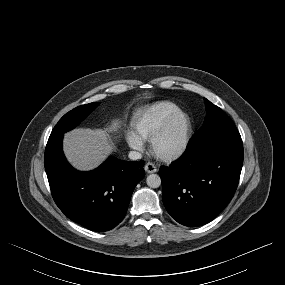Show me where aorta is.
I'll return each instance as SVG.
<instances>
[{
    "label": "aorta",
    "mask_w": 285,
    "mask_h": 285,
    "mask_svg": "<svg viewBox=\"0 0 285 285\" xmlns=\"http://www.w3.org/2000/svg\"><path fill=\"white\" fill-rule=\"evenodd\" d=\"M146 183L150 188H158L161 185V178L157 174H150L146 179Z\"/></svg>",
    "instance_id": "762f6f07"
}]
</instances>
